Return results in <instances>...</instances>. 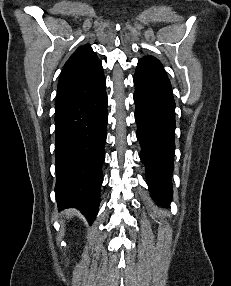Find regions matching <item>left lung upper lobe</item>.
Returning a JSON list of instances; mask_svg holds the SVG:
<instances>
[{
    "mask_svg": "<svg viewBox=\"0 0 231 286\" xmlns=\"http://www.w3.org/2000/svg\"><path fill=\"white\" fill-rule=\"evenodd\" d=\"M144 58H149V59H155V60H157V59L154 58L153 56H147V57H144Z\"/></svg>",
    "mask_w": 231,
    "mask_h": 286,
    "instance_id": "1",
    "label": "left lung upper lobe"
}]
</instances>
